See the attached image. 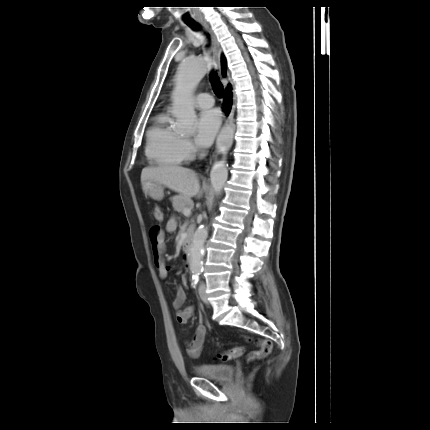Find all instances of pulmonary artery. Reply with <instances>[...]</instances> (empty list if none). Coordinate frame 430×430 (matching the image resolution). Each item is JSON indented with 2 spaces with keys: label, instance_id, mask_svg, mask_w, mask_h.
Returning <instances> with one entry per match:
<instances>
[{
  "label": "pulmonary artery",
  "instance_id": "e3ab8cb5",
  "mask_svg": "<svg viewBox=\"0 0 430 430\" xmlns=\"http://www.w3.org/2000/svg\"><path fill=\"white\" fill-rule=\"evenodd\" d=\"M195 103L198 108L207 109L214 105V99L208 93H199L195 98Z\"/></svg>",
  "mask_w": 430,
  "mask_h": 430
}]
</instances>
